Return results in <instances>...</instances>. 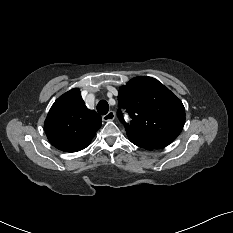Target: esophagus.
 I'll use <instances>...</instances> for the list:
<instances>
[{
  "label": "esophagus",
  "mask_w": 233,
  "mask_h": 233,
  "mask_svg": "<svg viewBox=\"0 0 233 233\" xmlns=\"http://www.w3.org/2000/svg\"><path fill=\"white\" fill-rule=\"evenodd\" d=\"M103 121H112L115 119V113L113 111H109L106 115L102 117Z\"/></svg>",
  "instance_id": "obj_1"
}]
</instances>
